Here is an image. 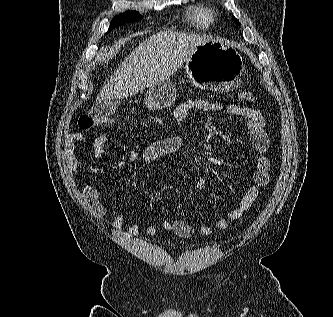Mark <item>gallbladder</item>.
Returning a JSON list of instances; mask_svg holds the SVG:
<instances>
[{
	"label": "gallbladder",
	"instance_id": "bac80fb5",
	"mask_svg": "<svg viewBox=\"0 0 333 317\" xmlns=\"http://www.w3.org/2000/svg\"><path fill=\"white\" fill-rule=\"evenodd\" d=\"M120 105V99L111 98L102 102H99L96 105V112L101 116H110L116 112L118 106Z\"/></svg>",
	"mask_w": 333,
	"mask_h": 317
}]
</instances>
